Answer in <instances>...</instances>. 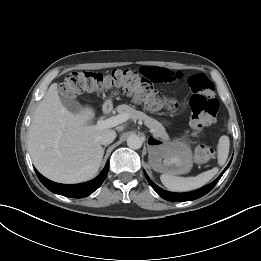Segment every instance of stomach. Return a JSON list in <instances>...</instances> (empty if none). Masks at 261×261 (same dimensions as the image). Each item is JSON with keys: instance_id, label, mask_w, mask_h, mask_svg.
Masks as SVG:
<instances>
[{"instance_id": "1", "label": "stomach", "mask_w": 261, "mask_h": 261, "mask_svg": "<svg viewBox=\"0 0 261 261\" xmlns=\"http://www.w3.org/2000/svg\"><path fill=\"white\" fill-rule=\"evenodd\" d=\"M149 164L156 172L169 175L188 173L193 166V154L187 137L166 141L154 137L149 141Z\"/></svg>"}]
</instances>
